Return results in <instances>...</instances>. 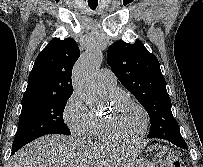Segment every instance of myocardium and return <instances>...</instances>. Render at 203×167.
<instances>
[{
	"label": "myocardium",
	"instance_id": "obj_1",
	"mask_svg": "<svg viewBox=\"0 0 203 167\" xmlns=\"http://www.w3.org/2000/svg\"><path fill=\"white\" fill-rule=\"evenodd\" d=\"M108 97L111 101V105H113L115 102L123 100L137 107L142 114L143 124L140 132L135 137L130 139L121 138L112 131L110 127V119L107 115H104L100 117L101 130L104 137L111 142L119 144H133L139 142L146 135L149 126V115L146 108L140 102L122 91L116 90L113 92H109Z\"/></svg>",
	"mask_w": 203,
	"mask_h": 167
}]
</instances>
